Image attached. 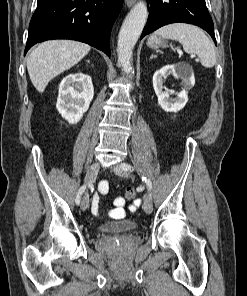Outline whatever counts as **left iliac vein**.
<instances>
[{
	"label": "left iliac vein",
	"instance_id": "1",
	"mask_svg": "<svg viewBox=\"0 0 247 296\" xmlns=\"http://www.w3.org/2000/svg\"><path fill=\"white\" fill-rule=\"evenodd\" d=\"M113 171L121 176V177H124V178H127L129 176L128 172L126 170H124L121 165H116L113 167ZM143 209L144 211L147 213V214H151L152 213V210H153V205H152V202H151V199L150 197L146 194L144 196V203H143Z\"/></svg>",
	"mask_w": 247,
	"mask_h": 296
}]
</instances>
